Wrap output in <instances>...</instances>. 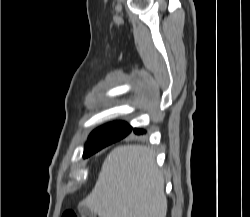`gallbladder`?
<instances>
[{"instance_id": "bac80fb5", "label": "gallbladder", "mask_w": 250, "mask_h": 217, "mask_svg": "<svg viewBox=\"0 0 250 217\" xmlns=\"http://www.w3.org/2000/svg\"><path fill=\"white\" fill-rule=\"evenodd\" d=\"M78 210L83 213V214H88L90 215L91 217H96V214L91 212L88 208L84 207V206H79L78 207Z\"/></svg>"}]
</instances>
